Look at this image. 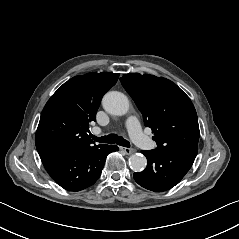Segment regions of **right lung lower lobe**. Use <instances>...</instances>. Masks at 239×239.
Instances as JSON below:
<instances>
[{
  "instance_id": "1",
  "label": "right lung lower lobe",
  "mask_w": 239,
  "mask_h": 239,
  "mask_svg": "<svg viewBox=\"0 0 239 239\" xmlns=\"http://www.w3.org/2000/svg\"><path fill=\"white\" fill-rule=\"evenodd\" d=\"M117 150L115 145L100 144L42 154L40 158L49 175L62 188L80 191L98 180L107 155Z\"/></svg>"
}]
</instances>
